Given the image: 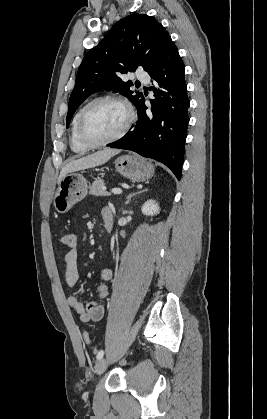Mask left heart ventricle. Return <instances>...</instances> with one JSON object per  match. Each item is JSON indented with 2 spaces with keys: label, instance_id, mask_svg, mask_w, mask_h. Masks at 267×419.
I'll return each instance as SVG.
<instances>
[{
  "label": "left heart ventricle",
  "instance_id": "obj_1",
  "mask_svg": "<svg viewBox=\"0 0 267 419\" xmlns=\"http://www.w3.org/2000/svg\"><path fill=\"white\" fill-rule=\"evenodd\" d=\"M127 119L125 108L113 101L93 105L86 113L83 132L92 141H102L120 131Z\"/></svg>",
  "mask_w": 267,
  "mask_h": 419
}]
</instances>
